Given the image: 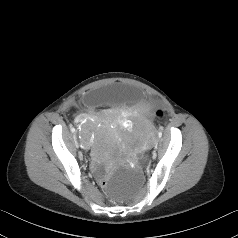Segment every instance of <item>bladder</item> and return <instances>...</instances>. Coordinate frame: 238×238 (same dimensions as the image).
Masks as SVG:
<instances>
[{"label": "bladder", "mask_w": 238, "mask_h": 238, "mask_svg": "<svg viewBox=\"0 0 238 238\" xmlns=\"http://www.w3.org/2000/svg\"><path fill=\"white\" fill-rule=\"evenodd\" d=\"M142 93L139 89L128 85L104 86L87 93L85 102L90 107L105 105L112 108H124L141 100Z\"/></svg>", "instance_id": "bladder-1"}]
</instances>
